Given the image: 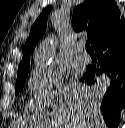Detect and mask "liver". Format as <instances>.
Returning <instances> with one entry per match:
<instances>
[{
    "label": "liver",
    "instance_id": "obj_1",
    "mask_svg": "<svg viewBox=\"0 0 125 128\" xmlns=\"http://www.w3.org/2000/svg\"><path fill=\"white\" fill-rule=\"evenodd\" d=\"M67 101L41 125L51 128H104L99 110L102 92L85 84L72 83L66 89Z\"/></svg>",
    "mask_w": 125,
    "mask_h": 128
}]
</instances>
